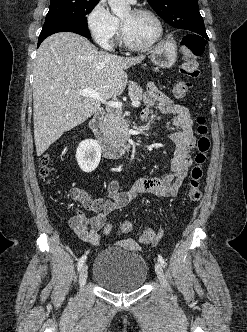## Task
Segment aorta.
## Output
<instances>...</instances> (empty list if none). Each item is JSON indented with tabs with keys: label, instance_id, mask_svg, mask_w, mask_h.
Returning <instances> with one entry per match:
<instances>
[{
	"label": "aorta",
	"instance_id": "obj_1",
	"mask_svg": "<svg viewBox=\"0 0 247 332\" xmlns=\"http://www.w3.org/2000/svg\"><path fill=\"white\" fill-rule=\"evenodd\" d=\"M111 11L116 16H123L131 10L129 3L126 0H108Z\"/></svg>",
	"mask_w": 247,
	"mask_h": 332
}]
</instances>
